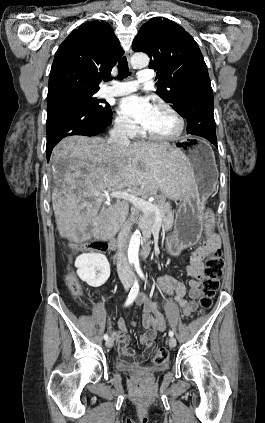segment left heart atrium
<instances>
[{
    "mask_svg": "<svg viewBox=\"0 0 265 423\" xmlns=\"http://www.w3.org/2000/svg\"><path fill=\"white\" fill-rule=\"evenodd\" d=\"M155 106L148 98L131 95L120 100L118 105L119 113L128 119L139 123L143 127L150 120Z\"/></svg>",
    "mask_w": 265,
    "mask_h": 423,
    "instance_id": "39dd6f15",
    "label": "left heart atrium"
}]
</instances>
